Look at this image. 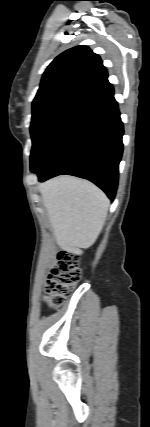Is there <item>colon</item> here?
Wrapping results in <instances>:
<instances>
[{
    "mask_svg": "<svg viewBox=\"0 0 150 427\" xmlns=\"http://www.w3.org/2000/svg\"><path fill=\"white\" fill-rule=\"evenodd\" d=\"M80 278L78 257L71 252H60L46 281V302L53 308L62 306Z\"/></svg>",
    "mask_w": 150,
    "mask_h": 427,
    "instance_id": "obj_1",
    "label": "colon"
}]
</instances>
